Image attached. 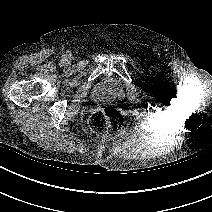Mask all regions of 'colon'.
<instances>
[{
	"label": "colon",
	"instance_id": "5ec220e1",
	"mask_svg": "<svg viewBox=\"0 0 212 212\" xmlns=\"http://www.w3.org/2000/svg\"><path fill=\"white\" fill-rule=\"evenodd\" d=\"M88 123L90 128L97 133L119 131L124 126V117L117 109L104 107L93 111Z\"/></svg>",
	"mask_w": 212,
	"mask_h": 212
}]
</instances>
